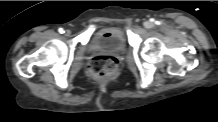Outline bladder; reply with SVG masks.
Returning <instances> with one entry per match:
<instances>
[{"label":"bladder","mask_w":218,"mask_h":122,"mask_svg":"<svg viewBox=\"0 0 218 122\" xmlns=\"http://www.w3.org/2000/svg\"><path fill=\"white\" fill-rule=\"evenodd\" d=\"M126 40L118 27H106L96 32L90 41V48L102 51H123Z\"/></svg>","instance_id":"bladder-1"}]
</instances>
